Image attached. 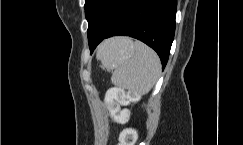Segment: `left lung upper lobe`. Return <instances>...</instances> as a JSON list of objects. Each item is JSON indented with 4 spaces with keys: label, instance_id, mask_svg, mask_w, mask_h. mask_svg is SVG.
Returning a JSON list of instances; mask_svg holds the SVG:
<instances>
[{
    "label": "left lung upper lobe",
    "instance_id": "5c2ea615",
    "mask_svg": "<svg viewBox=\"0 0 243 145\" xmlns=\"http://www.w3.org/2000/svg\"><path fill=\"white\" fill-rule=\"evenodd\" d=\"M127 0H85V15L88 24L108 28L121 12Z\"/></svg>",
    "mask_w": 243,
    "mask_h": 145
}]
</instances>
